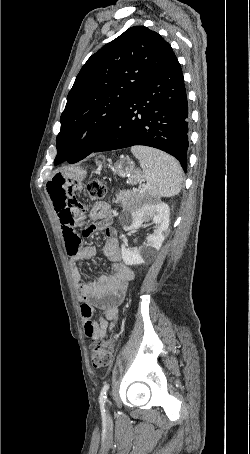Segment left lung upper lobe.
<instances>
[{
    "label": "left lung upper lobe",
    "mask_w": 250,
    "mask_h": 454,
    "mask_svg": "<svg viewBox=\"0 0 250 454\" xmlns=\"http://www.w3.org/2000/svg\"><path fill=\"white\" fill-rule=\"evenodd\" d=\"M172 55L170 44L145 26L127 29L93 54L67 96L55 161L88 156L133 95Z\"/></svg>",
    "instance_id": "obj_1"
}]
</instances>
